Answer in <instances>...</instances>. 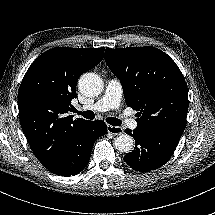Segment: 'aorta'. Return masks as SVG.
Listing matches in <instances>:
<instances>
[{"label":"aorta","mask_w":215,"mask_h":215,"mask_svg":"<svg viewBox=\"0 0 215 215\" xmlns=\"http://www.w3.org/2000/svg\"><path fill=\"white\" fill-rule=\"evenodd\" d=\"M79 88L85 96L99 95L102 90L100 77L94 73H84L79 79ZM114 146L122 153H130L134 150L135 142L132 136L121 134L114 139Z\"/></svg>","instance_id":"1"}]
</instances>
